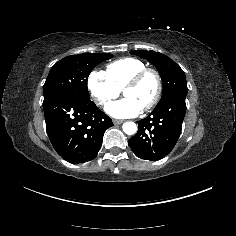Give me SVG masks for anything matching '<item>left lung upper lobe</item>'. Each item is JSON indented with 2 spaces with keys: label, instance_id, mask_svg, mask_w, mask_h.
Segmentation results:
<instances>
[{
  "label": "left lung upper lobe",
  "instance_id": "5c2ea615",
  "mask_svg": "<svg viewBox=\"0 0 236 236\" xmlns=\"http://www.w3.org/2000/svg\"><path fill=\"white\" fill-rule=\"evenodd\" d=\"M130 53L145 58L157 68L163 85V94L157 105L176 95H187V83L184 71L168 56L159 52L146 50L131 51Z\"/></svg>",
  "mask_w": 236,
  "mask_h": 236
}]
</instances>
